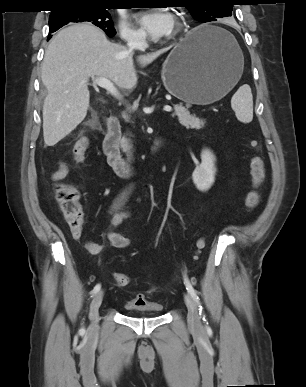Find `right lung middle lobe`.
Instances as JSON below:
<instances>
[{
  "instance_id": "right-lung-middle-lobe-1",
  "label": "right lung middle lobe",
  "mask_w": 306,
  "mask_h": 387,
  "mask_svg": "<svg viewBox=\"0 0 306 387\" xmlns=\"http://www.w3.org/2000/svg\"><path fill=\"white\" fill-rule=\"evenodd\" d=\"M88 21L100 27L108 36L116 34L110 14L101 6H71L52 12L49 16V32L53 33L69 22Z\"/></svg>"
}]
</instances>
